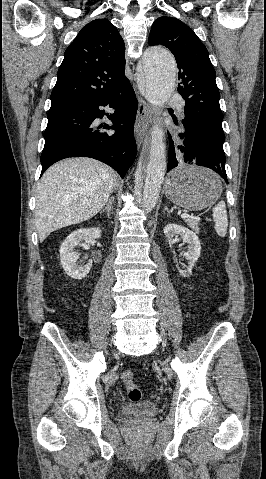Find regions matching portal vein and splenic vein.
I'll return each mask as SVG.
<instances>
[{
    "label": "portal vein and splenic vein",
    "mask_w": 266,
    "mask_h": 479,
    "mask_svg": "<svg viewBox=\"0 0 266 479\" xmlns=\"http://www.w3.org/2000/svg\"><path fill=\"white\" fill-rule=\"evenodd\" d=\"M189 217H190V215L187 214V213H183V214L181 215V218H182V219H187V218H189Z\"/></svg>",
    "instance_id": "obj_1"
}]
</instances>
